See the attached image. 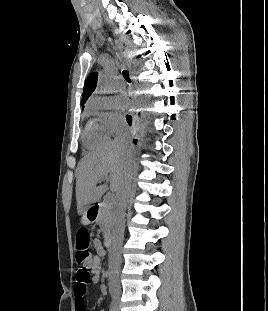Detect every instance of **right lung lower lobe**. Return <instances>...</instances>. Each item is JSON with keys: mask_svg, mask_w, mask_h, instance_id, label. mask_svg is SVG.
Returning <instances> with one entry per match:
<instances>
[{"mask_svg": "<svg viewBox=\"0 0 268 311\" xmlns=\"http://www.w3.org/2000/svg\"><path fill=\"white\" fill-rule=\"evenodd\" d=\"M126 120H127L128 124L131 125V123H132V116L131 115H127L126 116ZM134 143L136 144L137 140H134Z\"/></svg>", "mask_w": 268, "mask_h": 311, "instance_id": "obj_1", "label": "right lung lower lobe"}]
</instances>
